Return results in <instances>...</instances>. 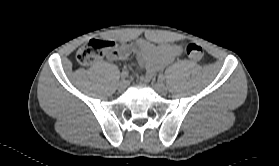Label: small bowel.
Masks as SVG:
<instances>
[{"instance_id": "c3829d8e", "label": "small bowel", "mask_w": 279, "mask_h": 166, "mask_svg": "<svg viewBox=\"0 0 279 166\" xmlns=\"http://www.w3.org/2000/svg\"><path fill=\"white\" fill-rule=\"evenodd\" d=\"M132 53L136 54L139 64L145 68V78L150 79L157 71L180 56L182 47L179 44H155L147 39H140L134 49L125 46L120 52L107 54V58L127 59Z\"/></svg>"}]
</instances>
